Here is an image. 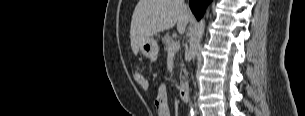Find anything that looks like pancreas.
Returning a JSON list of instances; mask_svg holds the SVG:
<instances>
[{
  "mask_svg": "<svg viewBox=\"0 0 305 116\" xmlns=\"http://www.w3.org/2000/svg\"><path fill=\"white\" fill-rule=\"evenodd\" d=\"M162 42L165 46V50L168 52L170 45L173 44L175 41L168 34H166L162 37Z\"/></svg>",
  "mask_w": 305,
  "mask_h": 116,
  "instance_id": "obj_1",
  "label": "pancreas"
}]
</instances>
